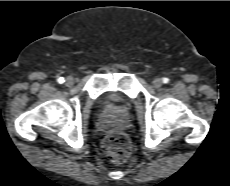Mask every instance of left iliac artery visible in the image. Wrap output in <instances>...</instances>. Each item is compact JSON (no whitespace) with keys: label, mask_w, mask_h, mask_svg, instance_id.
Segmentation results:
<instances>
[{"label":"left iliac artery","mask_w":230,"mask_h":186,"mask_svg":"<svg viewBox=\"0 0 230 186\" xmlns=\"http://www.w3.org/2000/svg\"><path fill=\"white\" fill-rule=\"evenodd\" d=\"M168 82H169V79H168V78H166V77H165V78H163V83H165V84H166V83H168Z\"/></svg>","instance_id":"left-iliac-artery-1"}]
</instances>
